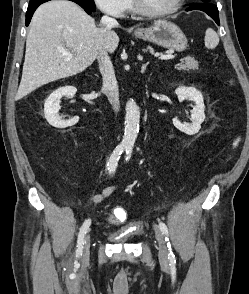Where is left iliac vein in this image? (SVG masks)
<instances>
[{"label":"left iliac vein","instance_id":"1","mask_svg":"<svg viewBox=\"0 0 249 294\" xmlns=\"http://www.w3.org/2000/svg\"><path fill=\"white\" fill-rule=\"evenodd\" d=\"M155 238L157 241L158 251H159V259L161 263L167 264L168 262V249L163 237L162 232L157 226H154Z\"/></svg>","mask_w":249,"mask_h":294}]
</instances>
